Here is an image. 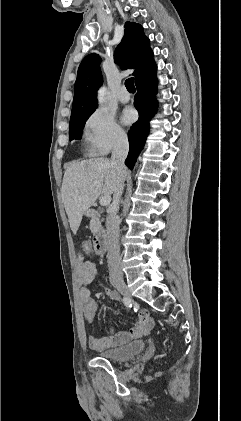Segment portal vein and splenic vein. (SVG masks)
I'll return each mask as SVG.
<instances>
[{"label": "portal vein and splenic vein", "mask_w": 241, "mask_h": 421, "mask_svg": "<svg viewBox=\"0 0 241 421\" xmlns=\"http://www.w3.org/2000/svg\"><path fill=\"white\" fill-rule=\"evenodd\" d=\"M110 202H111V197L109 195L102 196L100 198V205L101 206H107V205L110 204Z\"/></svg>", "instance_id": "portal-vein-and-splenic-vein-1"}]
</instances>
